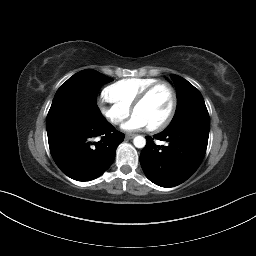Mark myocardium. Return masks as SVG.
Instances as JSON below:
<instances>
[{"instance_id": "1", "label": "myocardium", "mask_w": 256, "mask_h": 256, "mask_svg": "<svg viewBox=\"0 0 256 256\" xmlns=\"http://www.w3.org/2000/svg\"><path fill=\"white\" fill-rule=\"evenodd\" d=\"M160 86H165L169 89L171 96H172V103H171V107L169 109L168 114L166 115V117L160 121L159 123L153 125V126H149L148 129L151 131H157V130H161L163 128H165L172 120L176 108H177V103H178V96H177V92L175 90V88L166 81H158L152 85H150L149 87H147L138 97L137 99L134 101L133 105H132V112H134V110L140 106L141 104H143L147 98L150 96V94L157 89Z\"/></svg>"}]
</instances>
